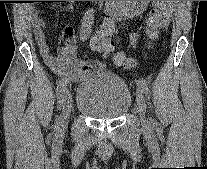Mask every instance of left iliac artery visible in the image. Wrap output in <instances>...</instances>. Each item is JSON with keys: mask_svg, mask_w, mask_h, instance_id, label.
<instances>
[{"mask_svg": "<svg viewBox=\"0 0 207 169\" xmlns=\"http://www.w3.org/2000/svg\"><path fill=\"white\" fill-rule=\"evenodd\" d=\"M132 33H133L132 36L131 35L129 36L130 38L132 37V40L131 39L129 40L130 47H131V51H136L135 43H137V39H139V34H134L135 33L134 31ZM136 85L139 90H141L142 92L145 93L146 96L149 95L150 91H149V87H148V84L145 79H143V78L138 79L136 81Z\"/></svg>", "mask_w": 207, "mask_h": 169, "instance_id": "left-iliac-artery-1", "label": "left iliac artery"}]
</instances>
